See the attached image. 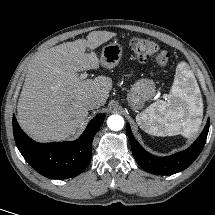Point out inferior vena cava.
Here are the masks:
<instances>
[{
    "label": "inferior vena cava",
    "mask_w": 215,
    "mask_h": 215,
    "mask_svg": "<svg viewBox=\"0 0 215 215\" xmlns=\"http://www.w3.org/2000/svg\"><path fill=\"white\" fill-rule=\"evenodd\" d=\"M86 104H87V107L92 110V109H96V108H99L103 105V102L101 99L99 98H96V97H92V98H89L87 101H86Z\"/></svg>",
    "instance_id": "inferior-vena-cava-1"
}]
</instances>
